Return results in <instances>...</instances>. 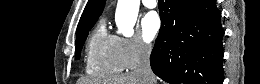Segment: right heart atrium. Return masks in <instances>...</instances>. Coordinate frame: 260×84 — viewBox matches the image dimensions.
Instances as JSON below:
<instances>
[{"label": "right heart atrium", "instance_id": "obj_1", "mask_svg": "<svg viewBox=\"0 0 260 84\" xmlns=\"http://www.w3.org/2000/svg\"><path fill=\"white\" fill-rule=\"evenodd\" d=\"M116 37L118 56L124 68H135L139 63L150 57L152 47L141 35L134 34L130 37Z\"/></svg>", "mask_w": 260, "mask_h": 84}]
</instances>
